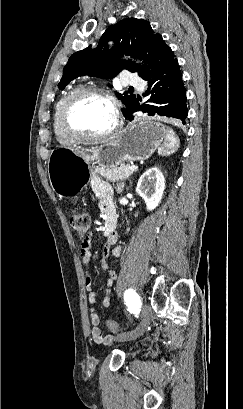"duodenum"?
Here are the masks:
<instances>
[{"mask_svg":"<svg viewBox=\"0 0 243 409\" xmlns=\"http://www.w3.org/2000/svg\"><path fill=\"white\" fill-rule=\"evenodd\" d=\"M106 221H105V228L104 233L106 236H111L116 229L117 224V216L116 213L112 210L106 211Z\"/></svg>","mask_w":243,"mask_h":409,"instance_id":"410a0bca","label":"duodenum"}]
</instances>
